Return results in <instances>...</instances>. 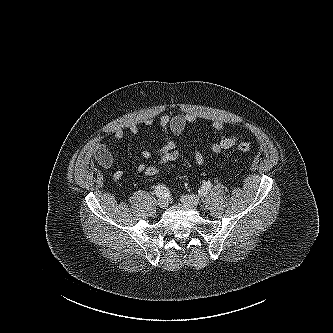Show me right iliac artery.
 I'll return each mask as SVG.
<instances>
[{
  "mask_svg": "<svg viewBox=\"0 0 333 333\" xmlns=\"http://www.w3.org/2000/svg\"><path fill=\"white\" fill-rule=\"evenodd\" d=\"M155 193L158 197L160 198H166V197H169V190L168 188H166L165 186L163 185H158L155 187Z\"/></svg>",
  "mask_w": 333,
  "mask_h": 333,
  "instance_id": "obj_1",
  "label": "right iliac artery"
}]
</instances>
